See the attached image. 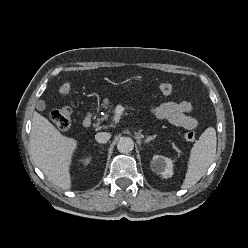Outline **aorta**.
I'll use <instances>...</instances> for the list:
<instances>
[{
    "instance_id": "obj_1",
    "label": "aorta",
    "mask_w": 248,
    "mask_h": 248,
    "mask_svg": "<svg viewBox=\"0 0 248 248\" xmlns=\"http://www.w3.org/2000/svg\"><path fill=\"white\" fill-rule=\"evenodd\" d=\"M117 149L120 153H130L134 149V141L130 137H122L117 143Z\"/></svg>"
}]
</instances>
